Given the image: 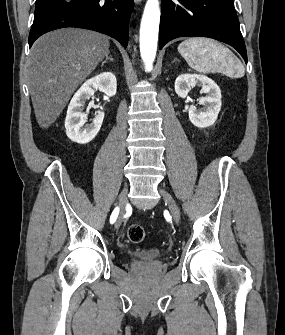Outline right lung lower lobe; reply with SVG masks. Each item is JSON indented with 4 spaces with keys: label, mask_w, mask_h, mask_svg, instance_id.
I'll list each match as a JSON object with an SVG mask.
<instances>
[{
    "label": "right lung lower lobe",
    "mask_w": 285,
    "mask_h": 335,
    "mask_svg": "<svg viewBox=\"0 0 285 335\" xmlns=\"http://www.w3.org/2000/svg\"><path fill=\"white\" fill-rule=\"evenodd\" d=\"M133 0H36L29 46L59 28L82 27L107 34L125 48Z\"/></svg>",
    "instance_id": "1"
}]
</instances>
